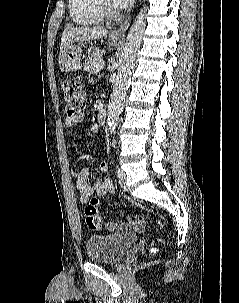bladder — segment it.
Listing matches in <instances>:
<instances>
[{"label":"bladder","mask_w":239,"mask_h":303,"mask_svg":"<svg viewBox=\"0 0 239 303\" xmlns=\"http://www.w3.org/2000/svg\"><path fill=\"white\" fill-rule=\"evenodd\" d=\"M136 238L135 233L125 232L91 235L86 241L87 257L90 261L99 264H117Z\"/></svg>","instance_id":"obj_1"}]
</instances>
